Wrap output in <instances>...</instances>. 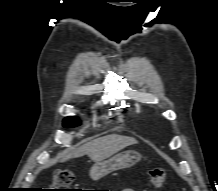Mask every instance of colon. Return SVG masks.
Returning a JSON list of instances; mask_svg holds the SVG:
<instances>
[{
	"label": "colon",
	"mask_w": 218,
	"mask_h": 191,
	"mask_svg": "<svg viewBox=\"0 0 218 191\" xmlns=\"http://www.w3.org/2000/svg\"><path fill=\"white\" fill-rule=\"evenodd\" d=\"M148 178L150 183L155 187H161L166 181V173L162 168H155L149 171ZM74 180V173L69 169L58 170L53 176V191H74L68 187Z\"/></svg>",
	"instance_id": "obj_1"
}]
</instances>
